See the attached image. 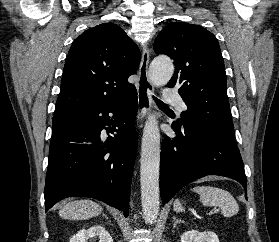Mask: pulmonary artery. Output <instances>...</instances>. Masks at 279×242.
<instances>
[{
    "mask_svg": "<svg viewBox=\"0 0 279 242\" xmlns=\"http://www.w3.org/2000/svg\"><path fill=\"white\" fill-rule=\"evenodd\" d=\"M165 101L176 107L180 112L186 110V105L183 102L181 96L173 90L166 89L164 93Z\"/></svg>",
    "mask_w": 279,
    "mask_h": 242,
    "instance_id": "1",
    "label": "pulmonary artery"
}]
</instances>
